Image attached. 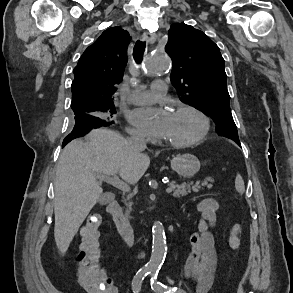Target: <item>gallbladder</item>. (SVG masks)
<instances>
[{
  "mask_svg": "<svg viewBox=\"0 0 293 293\" xmlns=\"http://www.w3.org/2000/svg\"><path fill=\"white\" fill-rule=\"evenodd\" d=\"M99 203L100 204H104L105 203V196H101L99 199Z\"/></svg>",
  "mask_w": 293,
  "mask_h": 293,
  "instance_id": "obj_1",
  "label": "gallbladder"
}]
</instances>
